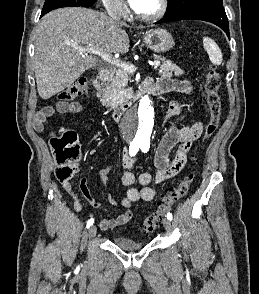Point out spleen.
Listing matches in <instances>:
<instances>
[{
	"mask_svg": "<svg viewBox=\"0 0 259 294\" xmlns=\"http://www.w3.org/2000/svg\"><path fill=\"white\" fill-rule=\"evenodd\" d=\"M203 46L207 54L209 55L210 61L214 65L222 64L223 56H222L221 50L213 39L209 37H204Z\"/></svg>",
	"mask_w": 259,
	"mask_h": 294,
	"instance_id": "spleen-1",
	"label": "spleen"
}]
</instances>
